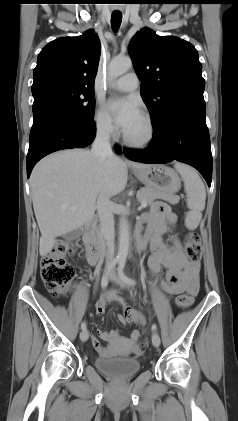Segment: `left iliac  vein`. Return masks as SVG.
<instances>
[{"label": "left iliac vein", "mask_w": 238, "mask_h": 421, "mask_svg": "<svg viewBox=\"0 0 238 421\" xmlns=\"http://www.w3.org/2000/svg\"><path fill=\"white\" fill-rule=\"evenodd\" d=\"M110 280L111 281H113V282H116V283H118V284H120L121 286H124L123 285V283H121L120 281H119V279L117 278V276H116V274H115V271L114 270H112L111 271V273H110ZM160 336H159V334L157 333V332H154L153 334H152V344L155 346V347H159V345H160Z\"/></svg>", "instance_id": "1"}]
</instances>
